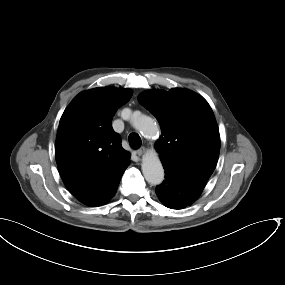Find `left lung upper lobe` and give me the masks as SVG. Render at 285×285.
Wrapping results in <instances>:
<instances>
[{
	"label": "left lung upper lobe",
	"mask_w": 285,
	"mask_h": 285,
	"mask_svg": "<svg viewBox=\"0 0 285 285\" xmlns=\"http://www.w3.org/2000/svg\"><path fill=\"white\" fill-rule=\"evenodd\" d=\"M139 102L160 124L162 135L156 149L163 166L207 181L220 152L219 129L208 102L180 88L143 92Z\"/></svg>",
	"instance_id": "obj_1"
}]
</instances>
